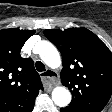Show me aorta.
<instances>
[{
    "label": "aorta",
    "instance_id": "obj_1",
    "mask_svg": "<svg viewBox=\"0 0 112 112\" xmlns=\"http://www.w3.org/2000/svg\"><path fill=\"white\" fill-rule=\"evenodd\" d=\"M38 54L49 67L56 69L61 65V58L56 47L47 41L39 43ZM52 100L59 107H66L71 102V93L63 86L55 87L52 91Z\"/></svg>",
    "mask_w": 112,
    "mask_h": 112
}]
</instances>
